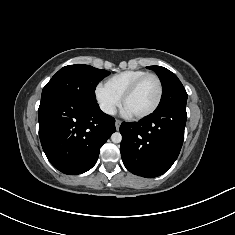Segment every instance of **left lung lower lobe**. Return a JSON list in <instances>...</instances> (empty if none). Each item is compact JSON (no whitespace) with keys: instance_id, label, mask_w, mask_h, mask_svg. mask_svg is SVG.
<instances>
[{"instance_id":"0a47b994","label":"left lung lower lobe","mask_w":235,"mask_h":235,"mask_svg":"<svg viewBox=\"0 0 235 235\" xmlns=\"http://www.w3.org/2000/svg\"><path fill=\"white\" fill-rule=\"evenodd\" d=\"M186 106L156 109L138 122H123L121 156L133 174L153 178L165 173L177 159L184 139Z\"/></svg>"}]
</instances>
